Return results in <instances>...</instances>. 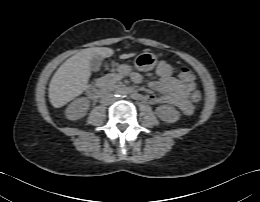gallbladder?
<instances>
[{
    "mask_svg": "<svg viewBox=\"0 0 260 202\" xmlns=\"http://www.w3.org/2000/svg\"><path fill=\"white\" fill-rule=\"evenodd\" d=\"M103 57L100 55H95L90 60V68L92 71L97 72L100 70Z\"/></svg>",
    "mask_w": 260,
    "mask_h": 202,
    "instance_id": "gallbladder-1",
    "label": "gallbladder"
}]
</instances>
